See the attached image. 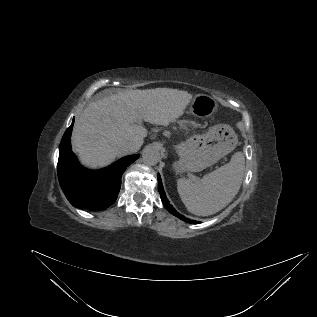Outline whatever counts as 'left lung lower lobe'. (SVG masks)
Segmentation results:
<instances>
[{
  "mask_svg": "<svg viewBox=\"0 0 317 317\" xmlns=\"http://www.w3.org/2000/svg\"><path fill=\"white\" fill-rule=\"evenodd\" d=\"M158 189H159V192H160V195H161L162 202H163L164 206L166 207V209H167L170 213H172L173 215H175L176 217L180 218L181 220H183V221H185V222L192 223V224H196V223H197L196 221H193V220H190V219H187V218L181 216V215L173 208V206L168 202V200H167V198H166V195H165V191H164V189H163L161 177H160L159 174H158Z\"/></svg>",
  "mask_w": 317,
  "mask_h": 317,
  "instance_id": "1",
  "label": "left lung lower lobe"
}]
</instances>
